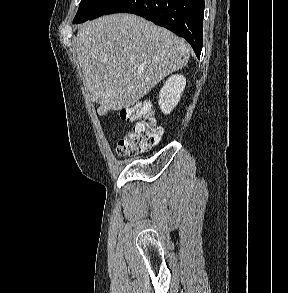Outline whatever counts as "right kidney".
I'll return each mask as SVG.
<instances>
[{
    "label": "right kidney",
    "mask_w": 288,
    "mask_h": 293,
    "mask_svg": "<svg viewBox=\"0 0 288 293\" xmlns=\"http://www.w3.org/2000/svg\"><path fill=\"white\" fill-rule=\"evenodd\" d=\"M186 86L183 75H172L167 79L159 93V106L163 113H170L178 104L182 92Z\"/></svg>",
    "instance_id": "1"
}]
</instances>
